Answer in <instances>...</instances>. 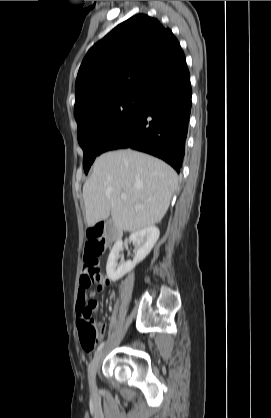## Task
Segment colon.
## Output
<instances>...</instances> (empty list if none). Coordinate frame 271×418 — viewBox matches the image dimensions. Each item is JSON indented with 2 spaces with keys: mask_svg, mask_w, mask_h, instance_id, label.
I'll return each mask as SVG.
<instances>
[{
  "mask_svg": "<svg viewBox=\"0 0 271 418\" xmlns=\"http://www.w3.org/2000/svg\"><path fill=\"white\" fill-rule=\"evenodd\" d=\"M108 228L104 222H99L88 228L86 232L87 242L85 244L84 257L89 263V275L85 279L86 284L95 282L100 275L98 257L103 253L108 238ZM83 304L87 299L86 293L82 294ZM78 331L82 348L91 351L99 340L102 327L98 326L93 319V314H80L78 319Z\"/></svg>",
  "mask_w": 271,
  "mask_h": 418,
  "instance_id": "colon-1",
  "label": "colon"
}]
</instances>
